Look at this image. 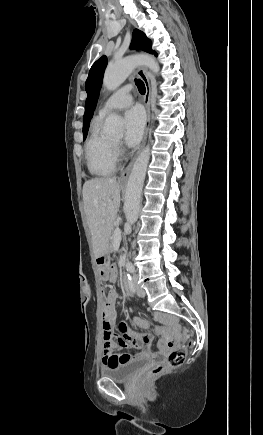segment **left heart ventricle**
<instances>
[{
    "instance_id": "1",
    "label": "left heart ventricle",
    "mask_w": 263,
    "mask_h": 435,
    "mask_svg": "<svg viewBox=\"0 0 263 435\" xmlns=\"http://www.w3.org/2000/svg\"><path fill=\"white\" fill-rule=\"evenodd\" d=\"M119 140H120V138H114V139H113V142L118 143Z\"/></svg>"
}]
</instances>
